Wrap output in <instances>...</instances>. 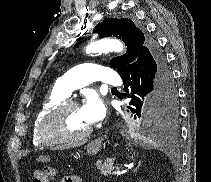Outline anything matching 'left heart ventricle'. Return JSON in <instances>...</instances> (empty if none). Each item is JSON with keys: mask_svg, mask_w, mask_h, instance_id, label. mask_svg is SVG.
Here are the masks:
<instances>
[{"mask_svg": "<svg viewBox=\"0 0 211 182\" xmlns=\"http://www.w3.org/2000/svg\"><path fill=\"white\" fill-rule=\"evenodd\" d=\"M79 107H69L56 120L54 130L61 136L75 137L83 134L88 128Z\"/></svg>", "mask_w": 211, "mask_h": 182, "instance_id": "1", "label": "left heart ventricle"}]
</instances>
